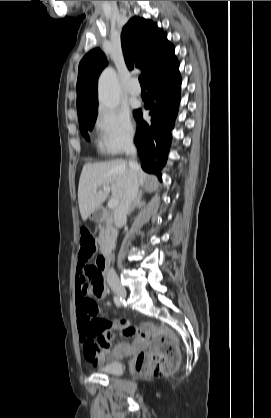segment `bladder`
<instances>
[{"label":"bladder","instance_id":"31cf9c89","mask_svg":"<svg viewBox=\"0 0 271 418\" xmlns=\"http://www.w3.org/2000/svg\"><path fill=\"white\" fill-rule=\"evenodd\" d=\"M123 370V363L119 360L110 361L99 368L100 372L113 376L121 375Z\"/></svg>","mask_w":271,"mask_h":418}]
</instances>
